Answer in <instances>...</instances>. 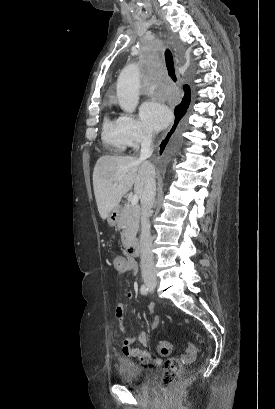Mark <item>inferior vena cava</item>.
<instances>
[{"label":"inferior vena cava","mask_w":275,"mask_h":409,"mask_svg":"<svg viewBox=\"0 0 275 409\" xmlns=\"http://www.w3.org/2000/svg\"><path fill=\"white\" fill-rule=\"evenodd\" d=\"M152 136L153 134H151V132H142L140 158H149V156H151L153 152ZM150 170L151 172L149 176H147L143 196L141 198V273L143 281H153V283H156L157 279L152 253V239L148 221L151 209L154 205L156 194V182L154 174L155 168L153 164H151Z\"/></svg>","instance_id":"inferior-vena-cava-1"}]
</instances>
